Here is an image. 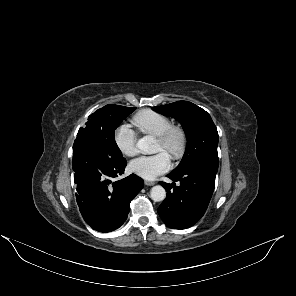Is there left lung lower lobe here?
I'll return each mask as SVG.
<instances>
[{"instance_id":"0a47b994","label":"left lung lower lobe","mask_w":296,"mask_h":296,"mask_svg":"<svg viewBox=\"0 0 296 296\" xmlns=\"http://www.w3.org/2000/svg\"><path fill=\"white\" fill-rule=\"evenodd\" d=\"M217 170L218 161H204L168 174L167 177L180 182L177 187L175 183L159 182L167 191L166 199L158 208L165 224L186 229L199 221L210 202Z\"/></svg>"}]
</instances>
